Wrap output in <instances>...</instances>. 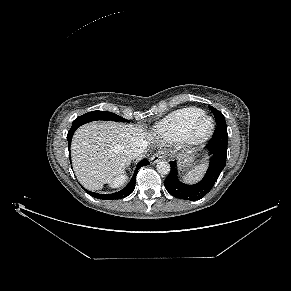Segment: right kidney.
I'll return each mask as SVG.
<instances>
[{
  "instance_id": "ca27d5eb",
  "label": "right kidney",
  "mask_w": 291,
  "mask_h": 291,
  "mask_svg": "<svg viewBox=\"0 0 291 291\" xmlns=\"http://www.w3.org/2000/svg\"><path fill=\"white\" fill-rule=\"evenodd\" d=\"M125 179H126V177L124 176V177H122V178H119V179L114 180V181L112 182V186H113V187H118V186H120V185L124 182Z\"/></svg>"
}]
</instances>
